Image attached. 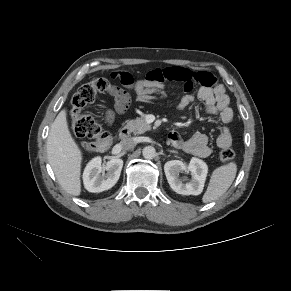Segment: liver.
<instances>
[{"instance_id":"6515ba94","label":"liver","mask_w":291,"mask_h":291,"mask_svg":"<svg viewBox=\"0 0 291 291\" xmlns=\"http://www.w3.org/2000/svg\"><path fill=\"white\" fill-rule=\"evenodd\" d=\"M47 157L62 188L73 196H79L82 152L70 133L66 109L59 112L51 125Z\"/></svg>"}]
</instances>
